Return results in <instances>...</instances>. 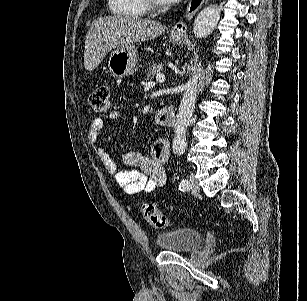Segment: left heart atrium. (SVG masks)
Instances as JSON below:
<instances>
[{
    "label": "left heart atrium",
    "mask_w": 307,
    "mask_h": 301,
    "mask_svg": "<svg viewBox=\"0 0 307 301\" xmlns=\"http://www.w3.org/2000/svg\"><path fill=\"white\" fill-rule=\"evenodd\" d=\"M174 0H162L163 4H172Z\"/></svg>",
    "instance_id": "1"
}]
</instances>
